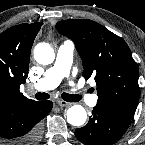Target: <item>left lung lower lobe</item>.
I'll use <instances>...</instances> for the list:
<instances>
[{
	"label": "left lung lower lobe",
	"mask_w": 145,
	"mask_h": 145,
	"mask_svg": "<svg viewBox=\"0 0 145 145\" xmlns=\"http://www.w3.org/2000/svg\"><path fill=\"white\" fill-rule=\"evenodd\" d=\"M130 124V120L95 106L86 126L75 131L77 139L85 145H112Z\"/></svg>",
	"instance_id": "obj_1"
}]
</instances>
